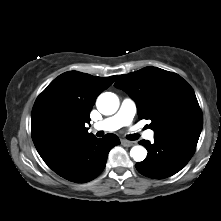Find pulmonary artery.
<instances>
[{"instance_id":"1","label":"pulmonary artery","mask_w":221,"mask_h":221,"mask_svg":"<svg viewBox=\"0 0 221 221\" xmlns=\"http://www.w3.org/2000/svg\"><path fill=\"white\" fill-rule=\"evenodd\" d=\"M135 113V102L130 98H125L115 115L95 123L93 127L96 130L115 131L123 126L130 125L135 116ZM143 136L146 139L152 140L154 138V132L152 130H148L144 132Z\"/></svg>"}]
</instances>
